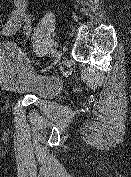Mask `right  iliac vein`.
I'll return each mask as SVG.
<instances>
[{
	"label": "right iliac vein",
	"instance_id": "63e3f726",
	"mask_svg": "<svg viewBox=\"0 0 131 177\" xmlns=\"http://www.w3.org/2000/svg\"><path fill=\"white\" fill-rule=\"evenodd\" d=\"M58 56H59V53H58V52H56V53H55L54 60H57V59H58Z\"/></svg>",
	"mask_w": 131,
	"mask_h": 177
}]
</instances>
